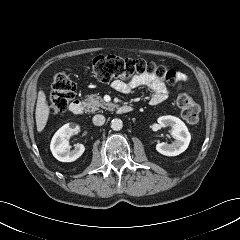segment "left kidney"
Wrapping results in <instances>:
<instances>
[{"label":"left kidney","mask_w":240,"mask_h":240,"mask_svg":"<svg viewBox=\"0 0 240 240\" xmlns=\"http://www.w3.org/2000/svg\"><path fill=\"white\" fill-rule=\"evenodd\" d=\"M158 123L161 127H171V135L175 139L172 144L157 143L156 150L159 153L165 156H177L188 148L191 135L183 121L175 116L166 115L159 117Z\"/></svg>","instance_id":"left-kidney-1"}]
</instances>
